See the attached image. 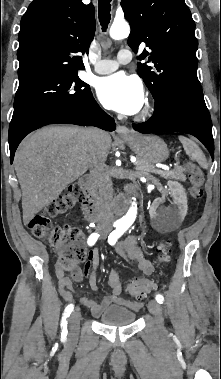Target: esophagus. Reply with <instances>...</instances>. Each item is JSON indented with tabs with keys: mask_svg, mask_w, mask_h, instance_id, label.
Listing matches in <instances>:
<instances>
[{
	"mask_svg": "<svg viewBox=\"0 0 221 379\" xmlns=\"http://www.w3.org/2000/svg\"><path fill=\"white\" fill-rule=\"evenodd\" d=\"M116 131L117 134L121 137L130 136V130L125 125H118Z\"/></svg>",
	"mask_w": 221,
	"mask_h": 379,
	"instance_id": "34e87169",
	"label": "esophagus"
}]
</instances>
